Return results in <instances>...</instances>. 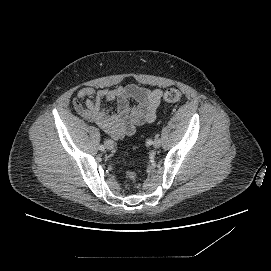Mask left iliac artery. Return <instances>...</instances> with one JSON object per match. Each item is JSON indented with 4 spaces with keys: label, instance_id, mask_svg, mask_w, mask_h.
Segmentation results:
<instances>
[{
    "label": "left iliac artery",
    "instance_id": "44dca946",
    "mask_svg": "<svg viewBox=\"0 0 271 271\" xmlns=\"http://www.w3.org/2000/svg\"><path fill=\"white\" fill-rule=\"evenodd\" d=\"M146 144H147V146H151V145L153 144L152 139H148V140L146 141Z\"/></svg>",
    "mask_w": 271,
    "mask_h": 271
}]
</instances>
